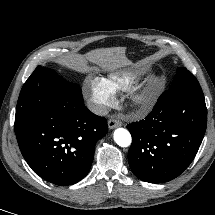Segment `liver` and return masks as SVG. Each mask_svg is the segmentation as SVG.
Returning <instances> with one entry per match:
<instances>
[{
  "label": "liver",
  "instance_id": "6515ba94",
  "mask_svg": "<svg viewBox=\"0 0 215 215\" xmlns=\"http://www.w3.org/2000/svg\"><path fill=\"white\" fill-rule=\"evenodd\" d=\"M90 61L100 66L103 70L113 71L130 64L123 47L95 49L83 56L69 61H62L66 66L80 70L85 63Z\"/></svg>",
  "mask_w": 215,
  "mask_h": 215
}]
</instances>
